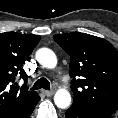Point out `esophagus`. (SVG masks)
<instances>
[{"mask_svg": "<svg viewBox=\"0 0 118 118\" xmlns=\"http://www.w3.org/2000/svg\"><path fill=\"white\" fill-rule=\"evenodd\" d=\"M43 93L46 95V96H52L53 94H54V91L53 90H50V91H48V90H43Z\"/></svg>", "mask_w": 118, "mask_h": 118, "instance_id": "34e87169", "label": "esophagus"}]
</instances>
